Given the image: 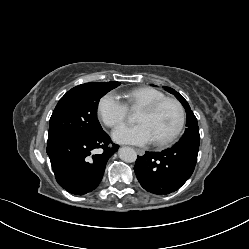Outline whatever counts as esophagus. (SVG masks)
Wrapping results in <instances>:
<instances>
[{
	"mask_svg": "<svg viewBox=\"0 0 249 249\" xmlns=\"http://www.w3.org/2000/svg\"><path fill=\"white\" fill-rule=\"evenodd\" d=\"M135 151L140 155H144L145 151L143 149H140V148H135Z\"/></svg>",
	"mask_w": 249,
	"mask_h": 249,
	"instance_id": "obj_1",
	"label": "esophagus"
}]
</instances>
